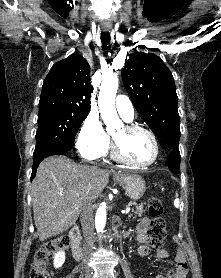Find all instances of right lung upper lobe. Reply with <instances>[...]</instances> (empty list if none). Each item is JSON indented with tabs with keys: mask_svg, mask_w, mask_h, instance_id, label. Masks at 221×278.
Listing matches in <instances>:
<instances>
[{
	"mask_svg": "<svg viewBox=\"0 0 221 278\" xmlns=\"http://www.w3.org/2000/svg\"><path fill=\"white\" fill-rule=\"evenodd\" d=\"M91 91L89 64L74 53L52 66L43 82L39 110L89 113Z\"/></svg>",
	"mask_w": 221,
	"mask_h": 278,
	"instance_id": "right-lung-upper-lobe-1",
	"label": "right lung upper lobe"
}]
</instances>
